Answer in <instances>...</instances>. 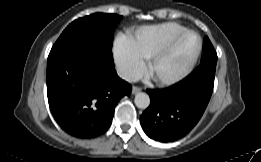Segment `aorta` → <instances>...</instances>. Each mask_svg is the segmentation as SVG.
I'll list each match as a JSON object with an SVG mask.
<instances>
[{
    "mask_svg": "<svg viewBox=\"0 0 261 162\" xmlns=\"http://www.w3.org/2000/svg\"><path fill=\"white\" fill-rule=\"evenodd\" d=\"M134 102L138 108L146 109L150 104V98L148 94L144 92H139L135 95Z\"/></svg>",
    "mask_w": 261,
    "mask_h": 162,
    "instance_id": "762f6f07",
    "label": "aorta"
}]
</instances>
